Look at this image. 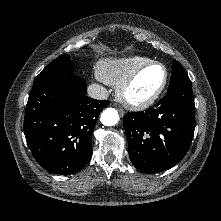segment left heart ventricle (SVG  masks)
Wrapping results in <instances>:
<instances>
[{
  "mask_svg": "<svg viewBox=\"0 0 221 221\" xmlns=\"http://www.w3.org/2000/svg\"><path fill=\"white\" fill-rule=\"evenodd\" d=\"M163 75V69L160 66L148 68L135 83L132 93L136 97H145L151 94L160 86Z\"/></svg>",
  "mask_w": 221,
  "mask_h": 221,
  "instance_id": "b2bd125f",
  "label": "left heart ventricle"
}]
</instances>
